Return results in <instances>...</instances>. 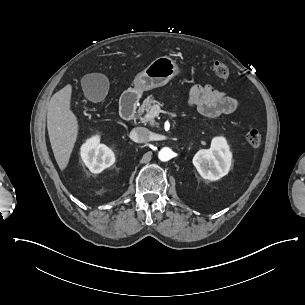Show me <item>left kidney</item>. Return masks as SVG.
<instances>
[{
    "label": "left kidney",
    "mask_w": 305,
    "mask_h": 305,
    "mask_svg": "<svg viewBox=\"0 0 305 305\" xmlns=\"http://www.w3.org/2000/svg\"><path fill=\"white\" fill-rule=\"evenodd\" d=\"M200 176L217 181L229 172L231 154L224 138H215L210 150H200L193 159Z\"/></svg>",
    "instance_id": "obj_1"
}]
</instances>
